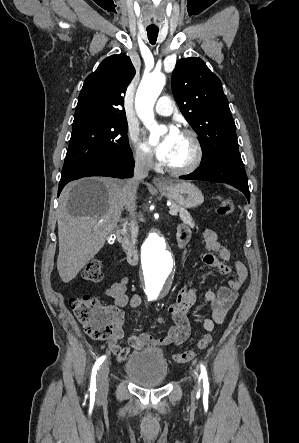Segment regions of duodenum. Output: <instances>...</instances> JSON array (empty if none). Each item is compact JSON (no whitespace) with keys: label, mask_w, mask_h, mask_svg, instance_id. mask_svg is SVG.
<instances>
[{"label":"duodenum","mask_w":299,"mask_h":443,"mask_svg":"<svg viewBox=\"0 0 299 443\" xmlns=\"http://www.w3.org/2000/svg\"><path fill=\"white\" fill-rule=\"evenodd\" d=\"M116 238L117 241L122 249V251L126 254L127 256V261L131 266H135L138 262V253L136 251V249L132 246H130L127 241H126V234L125 231L122 229H119L116 233ZM178 245L179 247H182L185 245V242H179L178 241Z\"/></svg>","instance_id":"duodenum-1"}]
</instances>
